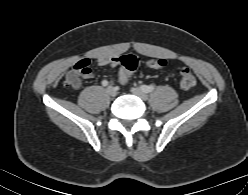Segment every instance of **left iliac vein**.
Masks as SVG:
<instances>
[{"instance_id":"1","label":"left iliac vein","mask_w":248,"mask_h":195,"mask_svg":"<svg viewBox=\"0 0 248 195\" xmlns=\"http://www.w3.org/2000/svg\"><path fill=\"white\" fill-rule=\"evenodd\" d=\"M131 92H132V94L138 96L142 100L148 99V95L144 91H142L140 88H132Z\"/></svg>"}]
</instances>
